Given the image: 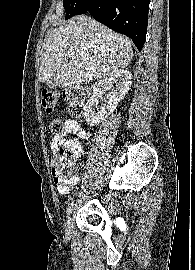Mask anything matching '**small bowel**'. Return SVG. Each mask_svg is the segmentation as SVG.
Wrapping results in <instances>:
<instances>
[{
	"label": "small bowel",
	"mask_w": 195,
	"mask_h": 270,
	"mask_svg": "<svg viewBox=\"0 0 195 270\" xmlns=\"http://www.w3.org/2000/svg\"><path fill=\"white\" fill-rule=\"evenodd\" d=\"M64 125H65V133L59 137L54 136L51 140L50 147L53 153H56L58 147L61 146L66 141V137L69 134H73L79 139L88 138V132L84 128H82L76 120L67 119Z\"/></svg>",
	"instance_id": "c3829d8e"
}]
</instances>
